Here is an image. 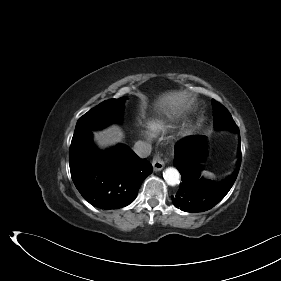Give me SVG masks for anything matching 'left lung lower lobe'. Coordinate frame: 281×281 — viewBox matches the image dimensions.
<instances>
[{"mask_svg": "<svg viewBox=\"0 0 281 281\" xmlns=\"http://www.w3.org/2000/svg\"><path fill=\"white\" fill-rule=\"evenodd\" d=\"M238 166L227 179L214 183L200 177V163L206 155L205 137L194 135L181 140L175 146L174 165L182 176L179 191L172 196L176 207L185 212H203L220 202L233 186L241 163L239 129Z\"/></svg>", "mask_w": 281, "mask_h": 281, "instance_id": "obj_1", "label": "left lung lower lobe"}]
</instances>
